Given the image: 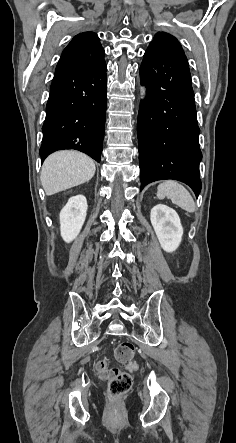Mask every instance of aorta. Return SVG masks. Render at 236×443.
I'll use <instances>...</instances> for the list:
<instances>
[{"label": "aorta", "mask_w": 236, "mask_h": 443, "mask_svg": "<svg viewBox=\"0 0 236 443\" xmlns=\"http://www.w3.org/2000/svg\"><path fill=\"white\" fill-rule=\"evenodd\" d=\"M141 96H142V98H145V96H146L145 88H141Z\"/></svg>", "instance_id": "1"}]
</instances>
